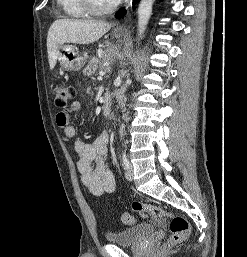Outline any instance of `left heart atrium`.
<instances>
[{"instance_id": "39dd6f15", "label": "left heart atrium", "mask_w": 247, "mask_h": 257, "mask_svg": "<svg viewBox=\"0 0 247 257\" xmlns=\"http://www.w3.org/2000/svg\"><path fill=\"white\" fill-rule=\"evenodd\" d=\"M114 1H116V2H120V1H122V0H114Z\"/></svg>"}]
</instances>
